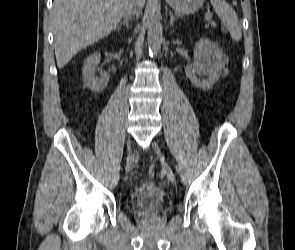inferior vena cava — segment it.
Instances as JSON below:
<instances>
[{
	"label": "inferior vena cava",
	"mask_w": 295,
	"mask_h": 250,
	"mask_svg": "<svg viewBox=\"0 0 295 250\" xmlns=\"http://www.w3.org/2000/svg\"><path fill=\"white\" fill-rule=\"evenodd\" d=\"M141 0H128L126 4L123 16L131 18L132 15L139 16L141 14Z\"/></svg>",
	"instance_id": "inferior-vena-cava-1"
}]
</instances>
